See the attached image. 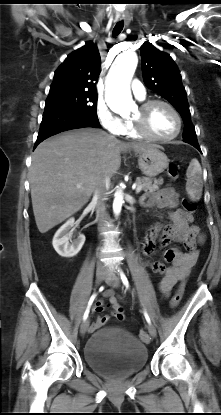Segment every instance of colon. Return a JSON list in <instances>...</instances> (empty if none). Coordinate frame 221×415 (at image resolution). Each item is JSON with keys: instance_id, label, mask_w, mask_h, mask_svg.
Instances as JSON below:
<instances>
[{"instance_id": "5ec220e1", "label": "colon", "mask_w": 221, "mask_h": 415, "mask_svg": "<svg viewBox=\"0 0 221 415\" xmlns=\"http://www.w3.org/2000/svg\"><path fill=\"white\" fill-rule=\"evenodd\" d=\"M167 172H168V176L171 179L176 180L178 178L179 173H178V168H177L176 165L170 164L168 166ZM180 202L182 203V207H186V209L190 211V214H192L196 211V205L194 203L190 202L189 200H187L185 196L181 197ZM184 287H185V283L182 282L180 284V286L178 287L176 293L172 297V299L170 301V306L172 308L176 307L179 304V302L182 298L183 292H184ZM139 336L144 341L148 340V334H147L145 329L140 330Z\"/></svg>"}]
</instances>
